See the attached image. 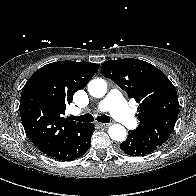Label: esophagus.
<instances>
[{
    "instance_id": "1",
    "label": "esophagus",
    "mask_w": 196,
    "mask_h": 196,
    "mask_svg": "<svg viewBox=\"0 0 196 196\" xmlns=\"http://www.w3.org/2000/svg\"><path fill=\"white\" fill-rule=\"evenodd\" d=\"M98 125L101 126V127H108V126H110L109 123H98Z\"/></svg>"
}]
</instances>
